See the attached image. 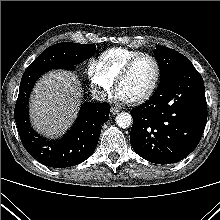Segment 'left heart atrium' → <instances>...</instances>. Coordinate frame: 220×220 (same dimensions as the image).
<instances>
[{"instance_id":"obj_1","label":"left heart atrium","mask_w":220,"mask_h":220,"mask_svg":"<svg viewBox=\"0 0 220 220\" xmlns=\"http://www.w3.org/2000/svg\"><path fill=\"white\" fill-rule=\"evenodd\" d=\"M116 99L121 102H129L130 101V99L119 90L116 93Z\"/></svg>"}]
</instances>
